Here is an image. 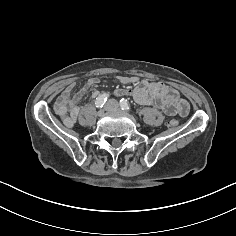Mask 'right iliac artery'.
<instances>
[{"label":"right iliac artery","instance_id":"1","mask_svg":"<svg viewBox=\"0 0 236 236\" xmlns=\"http://www.w3.org/2000/svg\"><path fill=\"white\" fill-rule=\"evenodd\" d=\"M109 97V94L103 93L100 94L95 101V105L97 108H102L105 102L107 101V98Z\"/></svg>","mask_w":236,"mask_h":236}]
</instances>
